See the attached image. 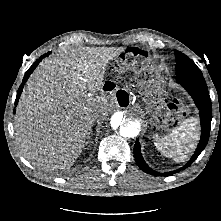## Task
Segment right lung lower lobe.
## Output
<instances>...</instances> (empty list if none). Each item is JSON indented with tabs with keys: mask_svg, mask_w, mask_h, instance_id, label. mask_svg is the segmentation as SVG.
<instances>
[{
	"mask_svg": "<svg viewBox=\"0 0 221 221\" xmlns=\"http://www.w3.org/2000/svg\"><path fill=\"white\" fill-rule=\"evenodd\" d=\"M49 54H50V52L47 53V54L42 55V56L40 57V59H39V60H36V62H35V63L28 69V71L25 73L24 78H23V80H22V84L20 85L19 90H18V93H17V97H16V100H15V105H17V103H18V100H19V98H20V95H21V92H22V90H23L24 84H25V82L27 81L29 75H30V74L33 72V70L37 67V65L39 64V62L41 61V59H43L44 57H46V56L49 55Z\"/></svg>",
	"mask_w": 221,
	"mask_h": 221,
	"instance_id": "obj_1",
	"label": "right lung lower lobe"
}]
</instances>
